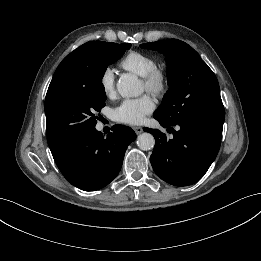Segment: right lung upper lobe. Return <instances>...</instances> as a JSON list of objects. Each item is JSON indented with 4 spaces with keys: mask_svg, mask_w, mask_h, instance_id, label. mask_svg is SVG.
<instances>
[{
    "mask_svg": "<svg viewBox=\"0 0 261 261\" xmlns=\"http://www.w3.org/2000/svg\"><path fill=\"white\" fill-rule=\"evenodd\" d=\"M104 43L106 42L91 41L85 43L66 56L53 75L45 101L70 86L82 83L85 80V75L82 71L85 53L89 49L103 45Z\"/></svg>",
    "mask_w": 261,
    "mask_h": 261,
    "instance_id": "cb5924a9",
    "label": "right lung upper lobe"
}]
</instances>
